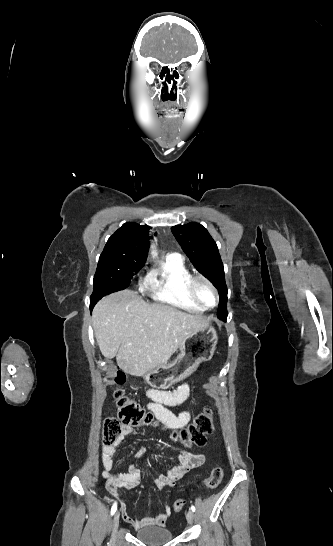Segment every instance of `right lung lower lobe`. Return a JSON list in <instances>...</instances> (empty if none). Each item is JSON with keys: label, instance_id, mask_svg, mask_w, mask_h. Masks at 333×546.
I'll return each instance as SVG.
<instances>
[{"label": "right lung lower lobe", "instance_id": "98d812e1", "mask_svg": "<svg viewBox=\"0 0 333 546\" xmlns=\"http://www.w3.org/2000/svg\"><path fill=\"white\" fill-rule=\"evenodd\" d=\"M95 305V303L93 301L90 300V309L92 310L93 306Z\"/></svg>", "mask_w": 333, "mask_h": 546}]
</instances>
